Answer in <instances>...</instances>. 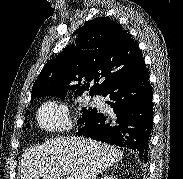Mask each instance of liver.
<instances>
[{"label": "liver", "instance_id": "obj_1", "mask_svg": "<svg viewBox=\"0 0 183 179\" xmlns=\"http://www.w3.org/2000/svg\"><path fill=\"white\" fill-rule=\"evenodd\" d=\"M123 152L114 146L80 137H60L25 150L21 179H96L119 162Z\"/></svg>", "mask_w": 183, "mask_h": 179}]
</instances>
